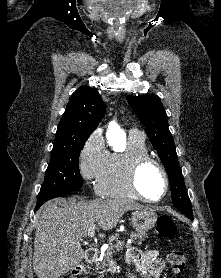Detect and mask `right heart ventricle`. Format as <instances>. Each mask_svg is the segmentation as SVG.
Returning <instances> with one entry per match:
<instances>
[{"mask_svg": "<svg viewBox=\"0 0 221 278\" xmlns=\"http://www.w3.org/2000/svg\"><path fill=\"white\" fill-rule=\"evenodd\" d=\"M147 154L148 149L144 137L130 135L125 151L109 153L105 171L96 181L97 191L105 197L137 198L127 181V165L133 157Z\"/></svg>", "mask_w": 221, "mask_h": 278, "instance_id": "obj_1", "label": "right heart ventricle"}]
</instances>
